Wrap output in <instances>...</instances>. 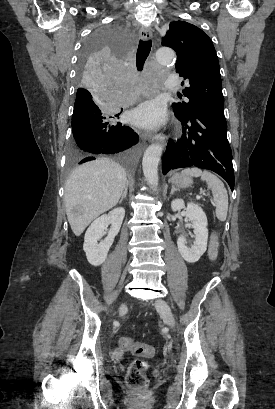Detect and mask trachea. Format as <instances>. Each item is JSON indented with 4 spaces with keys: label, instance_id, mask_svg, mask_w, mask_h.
Here are the masks:
<instances>
[{
    "label": "trachea",
    "instance_id": "1",
    "mask_svg": "<svg viewBox=\"0 0 275 409\" xmlns=\"http://www.w3.org/2000/svg\"><path fill=\"white\" fill-rule=\"evenodd\" d=\"M151 46H152L151 40H147V41L141 40L139 42L137 54H136V66H137L138 71H141L143 69L145 60L147 59L151 51Z\"/></svg>",
    "mask_w": 275,
    "mask_h": 409
}]
</instances>
